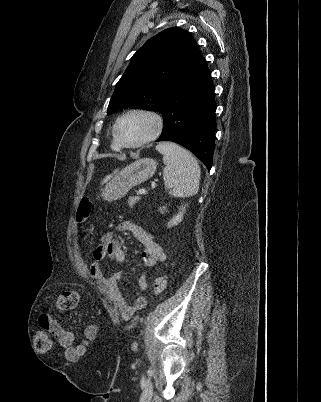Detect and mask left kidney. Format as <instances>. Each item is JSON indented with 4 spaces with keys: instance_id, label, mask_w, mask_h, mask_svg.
<instances>
[{
    "instance_id": "left-kidney-1",
    "label": "left kidney",
    "mask_w": 321,
    "mask_h": 402,
    "mask_svg": "<svg viewBox=\"0 0 321 402\" xmlns=\"http://www.w3.org/2000/svg\"><path fill=\"white\" fill-rule=\"evenodd\" d=\"M159 211L163 214V213H165L167 211V209H166L165 206H163V207L159 208Z\"/></svg>"
}]
</instances>
